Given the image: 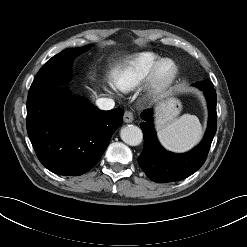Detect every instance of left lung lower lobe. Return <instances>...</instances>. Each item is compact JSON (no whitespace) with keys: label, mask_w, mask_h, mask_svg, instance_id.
<instances>
[{"label":"left lung lower lobe","mask_w":247,"mask_h":247,"mask_svg":"<svg viewBox=\"0 0 247 247\" xmlns=\"http://www.w3.org/2000/svg\"><path fill=\"white\" fill-rule=\"evenodd\" d=\"M201 89L209 108L208 129L202 142L193 150L184 154L166 151L158 142L149 109L141 113L144 120L140 124L144 136V147L138 157L139 166L149 179L157 183L183 180L195 173L205 162L217 127L216 91L209 80L193 84Z\"/></svg>","instance_id":"left-lung-lower-lobe-1"}]
</instances>
